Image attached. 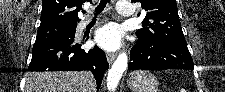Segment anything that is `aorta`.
<instances>
[{
	"label": "aorta",
	"mask_w": 225,
	"mask_h": 92,
	"mask_svg": "<svg viewBox=\"0 0 225 92\" xmlns=\"http://www.w3.org/2000/svg\"><path fill=\"white\" fill-rule=\"evenodd\" d=\"M128 65V56L125 52L119 54L107 76V88L114 91L126 70Z\"/></svg>",
	"instance_id": "aorta-1"
}]
</instances>
